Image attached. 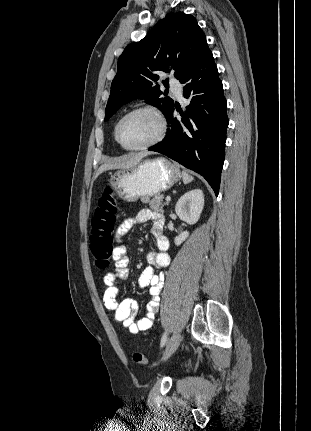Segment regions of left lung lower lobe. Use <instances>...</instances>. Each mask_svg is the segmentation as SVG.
<instances>
[{
	"label": "left lung lower lobe",
	"mask_w": 311,
	"mask_h": 431,
	"mask_svg": "<svg viewBox=\"0 0 311 431\" xmlns=\"http://www.w3.org/2000/svg\"><path fill=\"white\" fill-rule=\"evenodd\" d=\"M183 96L190 103L180 110L181 120L173 117L174 106L166 119L169 128L160 143L149 148L201 174L216 196L225 157L227 102L213 55L208 49L180 79Z\"/></svg>",
	"instance_id": "0a47b994"
}]
</instances>
